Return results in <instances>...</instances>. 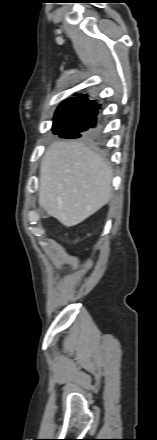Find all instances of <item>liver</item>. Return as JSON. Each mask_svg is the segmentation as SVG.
<instances>
[{
  "instance_id": "obj_1",
  "label": "liver",
  "mask_w": 157,
  "mask_h": 440,
  "mask_svg": "<svg viewBox=\"0 0 157 440\" xmlns=\"http://www.w3.org/2000/svg\"><path fill=\"white\" fill-rule=\"evenodd\" d=\"M109 165L81 142L57 141L40 166L39 203L66 227L96 213L112 198Z\"/></svg>"
}]
</instances>
